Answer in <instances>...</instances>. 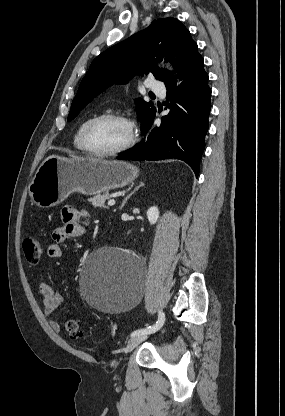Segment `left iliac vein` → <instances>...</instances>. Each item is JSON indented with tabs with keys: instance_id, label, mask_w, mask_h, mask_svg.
Wrapping results in <instances>:
<instances>
[{
	"instance_id": "obj_1",
	"label": "left iliac vein",
	"mask_w": 285,
	"mask_h": 416,
	"mask_svg": "<svg viewBox=\"0 0 285 416\" xmlns=\"http://www.w3.org/2000/svg\"><path fill=\"white\" fill-rule=\"evenodd\" d=\"M158 329V328H157ZM156 329V330H157ZM150 334V333H148ZM147 338V334H140L133 336L127 344V351L133 350L136 346H138L140 343H142Z\"/></svg>"
}]
</instances>
